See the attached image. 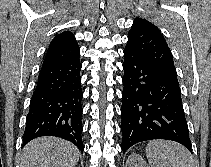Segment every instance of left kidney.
I'll return each mask as SVG.
<instances>
[{
  "label": "left kidney",
  "instance_id": "5707ae66",
  "mask_svg": "<svg viewBox=\"0 0 211 167\" xmlns=\"http://www.w3.org/2000/svg\"><path fill=\"white\" fill-rule=\"evenodd\" d=\"M125 167H149L141 156L138 154H131L127 161Z\"/></svg>",
  "mask_w": 211,
  "mask_h": 167
}]
</instances>
